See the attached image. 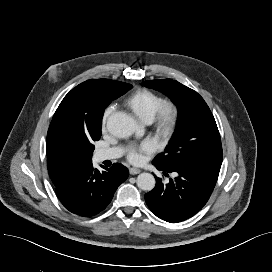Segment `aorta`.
Instances as JSON below:
<instances>
[{"mask_svg":"<svg viewBox=\"0 0 272 272\" xmlns=\"http://www.w3.org/2000/svg\"><path fill=\"white\" fill-rule=\"evenodd\" d=\"M110 134L118 138L131 136L137 129L136 121L127 113L115 112L111 114L106 123ZM156 181L152 174L141 173L137 177V186L144 191H151Z\"/></svg>","mask_w":272,"mask_h":272,"instance_id":"obj_1","label":"aorta"}]
</instances>
